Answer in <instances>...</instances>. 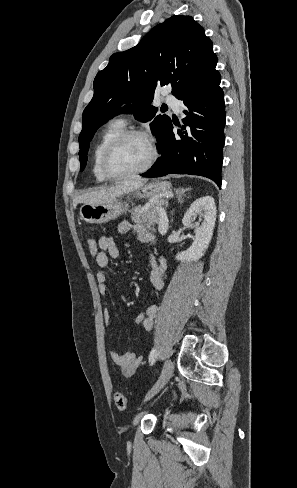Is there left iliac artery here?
<instances>
[{
	"label": "left iliac artery",
	"instance_id": "44dca946",
	"mask_svg": "<svg viewBox=\"0 0 297 488\" xmlns=\"http://www.w3.org/2000/svg\"><path fill=\"white\" fill-rule=\"evenodd\" d=\"M157 356H158L157 350L153 348V349L150 351V354H149V362H150V364H151V365H153V364H154V362H155V360H156Z\"/></svg>",
	"mask_w": 297,
	"mask_h": 488
}]
</instances>
